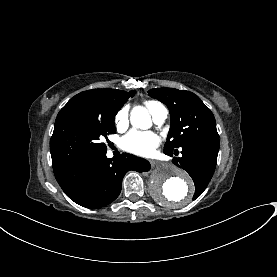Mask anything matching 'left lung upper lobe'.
I'll return each mask as SVG.
<instances>
[{"mask_svg": "<svg viewBox=\"0 0 277 277\" xmlns=\"http://www.w3.org/2000/svg\"><path fill=\"white\" fill-rule=\"evenodd\" d=\"M148 93L170 111L171 126L164 152L204 137L219 138L213 113L194 93L174 88L150 89Z\"/></svg>", "mask_w": 277, "mask_h": 277, "instance_id": "5c2ea615", "label": "left lung upper lobe"}]
</instances>
